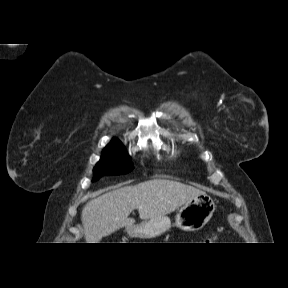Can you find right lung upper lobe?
<instances>
[{
	"instance_id": "cb5924a9",
	"label": "right lung upper lobe",
	"mask_w": 288,
	"mask_h": 288,
	"mask_svg": "<svg viewBox=\"0 0 288 288\" xmlns=\"http://www.w3.org/2000/svg\"><path fill=\"white\" fill-rule=\"evenodd\" d=\"M112 141H118L117 139H114V140H112Z\"/></svg>"
}]
</instances>
